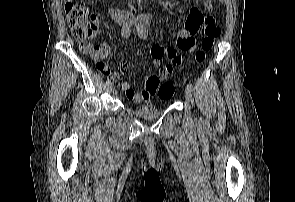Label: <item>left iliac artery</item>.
I'll list each match as a JSON object with an SVG mask.
<instances>
[{"label":"left iliac artery","instance_id":"obj_1","mask_svg":"<svg viewBox=\"0 0 295 202\" xmlns=\"http://www.w3.org/2000/svg\"><path fill=\"white\" fill-rule=\"evenodd\" d=\"M186 88H187L188 90H190L191 92L194 90L193 85L190 84V83L187 84Z\"/></svg>","mask_w":295,"mask_h":202}]
</instances>
